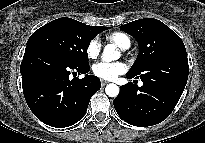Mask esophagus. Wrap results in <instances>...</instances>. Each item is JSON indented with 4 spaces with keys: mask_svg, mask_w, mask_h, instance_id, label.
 I'll use <instances>...</instances> for the list:
<instances>
[{
    "mask_svg": "<svg viewBox=\"0 0 205 143\" xmlns=\"http://www.w3.org/2000/svg\"><path fill=\"white\" fill-rule=\"evenodd\" d=\"M108 84V81H106V80H101V85L102 86H105V85H107Z\"/></svg>",
    "mask_w": 205,
    "mask_h": 143,
    "instance_id": "1",
    "label": "esophagus"
}]
</instances>
